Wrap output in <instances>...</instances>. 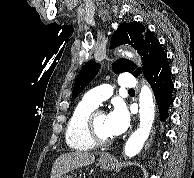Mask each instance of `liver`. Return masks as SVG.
<instances>
[{
  "label": "liver",
  "instance_id": "6515ba94",
  "mask_svg": "<svg viewBox=\"0 0 194 178\" xmlns=\"http://www.w3.org/2000/svg\"><path fill=\"white\" fill-rule=\"evenodd\" d=\"M95 156L92 153L75 151L60 155L53 164L50 178H60L74 169L92 164Z\"/></svg>",
  "mask_w": 194,
  "mask_h": 178
}]
</instances>
